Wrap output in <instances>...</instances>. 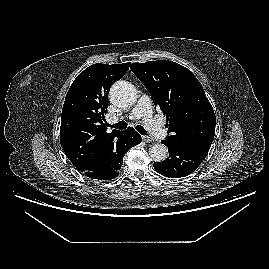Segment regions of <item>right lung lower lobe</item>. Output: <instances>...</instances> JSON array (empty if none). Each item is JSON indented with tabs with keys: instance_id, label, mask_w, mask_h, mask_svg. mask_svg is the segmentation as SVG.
Masks as SVG:
<instances>
[{
	"instance_id": "1",
	"label": "right lung lower lobe",
	"mask_w": 269,
	"mask_h": 269,
	"mask_svg": "<svg viewBox=\"0 0 269 269\" xmlns=\"http://www.w3.org/2000/svg\"><path fill=\"white\" fill-rule=\"evenodd\" d=\"M141 135L133 128L129 127L125 131H121L116 152L105 163V165L97 171L82 172L85 176L97 180H111L118 176V171L123 164L125 153L133 146L141 142Z\"/></svg>"
}]
</instances>
